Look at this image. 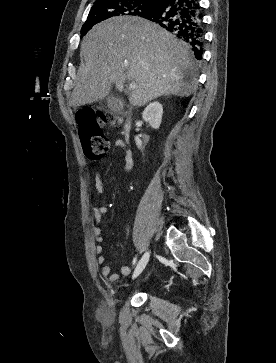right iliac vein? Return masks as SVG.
I'll use <instances>...</instances> for the list:
<instances>
[{
    "mask_svg": "<svg viewBox=\"0 0 276 363\" xmlns=\"http://www.w3.org/2000/svg\"><path fill=\"white\" fill-rule=\"evenodd\" d=\"M149 258H150V251L148 250V251H146V252L144 253V255L142 256V258H141V259H140V261L138 262L137 267H136V269H135V271H134V273H133V278H136V277H135V275L137 274V271H138L139 267H140L142 264L144 265V268H145V266H146L147 262L149 261Z\"/></svg>",
    "mask_w": 276,
    "mask_h": 363,
    "instance_id": "63e3f726",
    "label": "right iliac vein"
}]
</instances>
